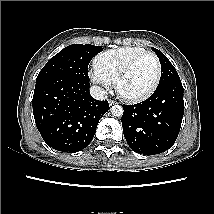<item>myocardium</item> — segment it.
<instances>
[{
    "instance_id": "myocardium-1",
    "label": "myocardium",
    "mask_w": 214,
    "mask_h": 214,
    "mask_svg": "<svg viewBox=\"0 0 214 214\" xmlns=\"http://www.w3.org/2000/svg\"><path fill=\"white\" fill-rule=\"evenodd\" d=\"M146 56H150L156 65V77L154 80L153 85L151 86V88L141 94V95H137V96H128L125 95L124 93H122L121 91V84L124 81V79L128 76V74L131 72V70L133 69V67L135 66V64L141 60L143 57ZM161 74H162V68H161V64L159 59L157 58V56L149 51H145L141 54L136 55L135 57H133L126 65L125 67L121 70L120 74L118 75V78L116 80V90H117V94L119 95V97L121 99H123L126 102H130V103H138V102H142L145 101L146 99H148L149 97H151L155 91L157 90L159 84H160V80H161Z\"/></svg>"
}]
</instances>
